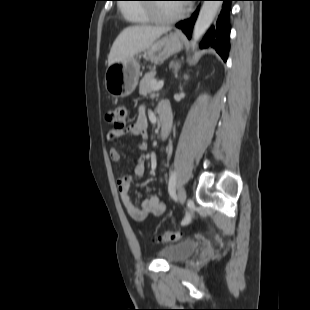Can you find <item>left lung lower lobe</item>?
<instances>
[{
    "mask_svg": "<svg viewBox=\"0 0 310 310\" xmlns=\"http://www.w3.org/2000/svg\"><path fill=\"white\" fill-rule=\"evenodd\" d=\"M204 1V0H198ZM223 1L222 10L218 17L215 26H212L207 34L204 36L200 43L201 48L212 47L222 57L224 61L227 60L229 48H230V23L229 12L231 9V1L234 0H220ZM198 16V10L189 18L176 24L188 38H191L192 30L196 18Z\"/></svg>",
    "mask_w": 310,
    "mask_h": 310,
    "instance_id": "obj_1",
    "label": "left lung lower lobe"
}]
</instances>
